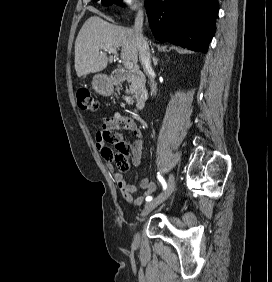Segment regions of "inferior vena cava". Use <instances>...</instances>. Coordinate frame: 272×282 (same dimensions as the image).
Masks as SVG:
<instances>
[{
    "mask_svg": "<svg viewBox=\"0 0 272 282\" xmlns=\"http://www.w3.org/2000/svg\"><path fill=\"white\" fill-rule=\"evenodd\" d=\"M143 21H144V11L143 7H138V13L135 18L134 23V34L136 36L138 46H139V59L141 61V64L143 66L144 72L150 79V89H151V95H156L157 93V84L152 78L153 69L151 66V60H150V51L149 46L142 34V28H143Z\"/></svg>",
    "mask_w": 272,
    "mask_h": 282,
    "instance_id": "obj_1",
    "label": "inferior vena cava"
}]
</instances>
